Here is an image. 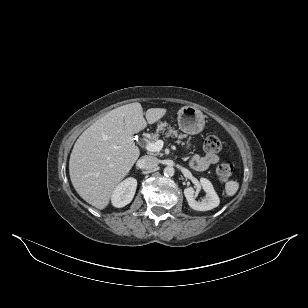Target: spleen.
<instances>
[{"mask_svg": "<svg viewBox=\"0 0 308 308\" xmlns=\"http://www.w3.org/2000/svg\"><path fill=\"white\" fill-rule=\"evenodd\" d=\"M239 189V183L237 181H228L225 184V192L227 196H234Z\"/></svg>", "mask_w": 308, "mask_h": 308, "instance_id": "obj_1", "label": "spleen"}]
</instances>
